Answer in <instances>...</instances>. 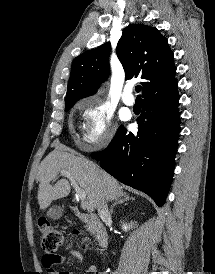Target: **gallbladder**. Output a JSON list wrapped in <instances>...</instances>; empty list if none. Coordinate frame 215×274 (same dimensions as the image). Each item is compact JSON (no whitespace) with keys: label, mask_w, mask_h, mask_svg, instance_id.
<instances>
[{"label":"gallbladder","mask_w":215,"mask_h":274,"mask_svg":"<svg viewBox=\"0 0 215 274\" xmlns=\"http://www.w3.org/2000/svg\"><path fill=\"white\" fill-rule=\"evenodd\" d=\"M64 207L62 206V207H60V206H57V205H55V206H53V207H51L49 210H48V212H47V216L49 217V218H51V219H58V218H60L61 217V215H62V212H63V209Z\"/></svg>","instance_id":"bac80fb5"}]
</instances>
